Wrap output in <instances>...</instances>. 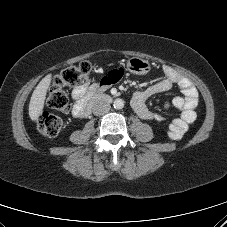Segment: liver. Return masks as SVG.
I'll return each instance as SVG.
<instances>
[{"label": "liver", "instance_id": "liver-1", "mask_svg": "<svg viewBox=\"0 0 227 227\" xmlns=\"http://www.w3.org/2000/svg\"><path fill=\"white\" fill-rule=\"evenodd\" d=\"M52 80V75H46L36 86L32 93L29 103V116L32 121H37L43 108L46 99V94Z\"/></svg>", "mask_w": 227, "mask_h": 227}]
</instances>
